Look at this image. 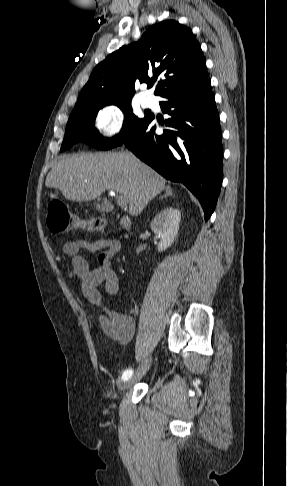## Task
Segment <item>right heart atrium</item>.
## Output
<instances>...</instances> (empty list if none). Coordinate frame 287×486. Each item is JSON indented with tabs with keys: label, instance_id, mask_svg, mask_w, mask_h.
<instances>
[{
	"label": "right heart atrium",
	"instance_id": "right-heart-atrium-1",
	"mask_svg": "<svg viewBox=\"0 0 287 486\" xmlns=\"http://www.w3.org/2000/svg\"><path fill=\"white\" fill-rule=\"evenodd\" d=\"M94 126L106 138L117 137L124 127V115L116 105H106L100 108L94 117Z\"/></svg>",
	"mask_w": 287,
	"mask_h": 486
}]
</instances>
